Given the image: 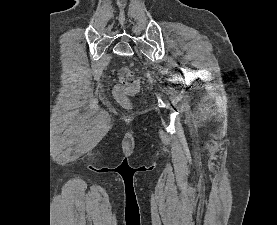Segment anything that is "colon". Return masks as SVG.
I'll return each instance as SVG.
<instances>
[{
	"instance_id": "5ec220e1",
	"label": "colon",
	"mask_w": 277,
	"mask_h": 225,
	"mask_svg": "<svg viewBox=\"0 0 277 225\" xmlns=\"http://www.w3.org/2000/svg\"><path fill=\"white\" fill-rule=\"evenodd\" d=\"M119 83L114 87L113 94L116 100L125 108L131 106L129 96L140 89L139 81L135 73L129 68L119 70Z\"/></svg>"
}]
</instances>
